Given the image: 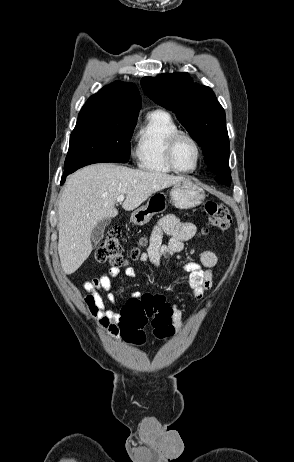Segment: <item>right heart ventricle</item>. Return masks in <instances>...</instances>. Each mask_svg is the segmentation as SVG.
<instances>
[{"label": "right heart ventricle", "instance_id": "right-heart-ventricle-1", "mask_svg": "<svg viewBox=\"0 0 294 462\" xmlns=\"http://www.w3.org/2000/svg\"><path fill=\"white\" fill-rule=\"evenodd\" d=\"M177 131L179 127L169 112L163 109L149 112L136 134L137 165L150 173L173 172L167 164L165 150L169 137Z\"/></svg>", "mask_w": 294, "mask_h": 462}]
</instances>
